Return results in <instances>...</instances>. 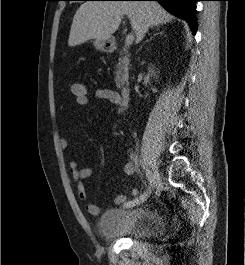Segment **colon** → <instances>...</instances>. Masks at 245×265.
Returning a JSON list of instances; mask_svg holds the SVG:
<instances>
[{"mask_svg": "<svg viewBox=\"0 0 245 265\" xmlns=\"http://www.w3.org/2000/svg\"><path fill=\"white\" fill-rule=\"evenodd\" d=\"M71 93L78 105L86 106L89 103V90L85 84L79 82L74 83L71 86Z\"/></svg>", "mask_w": 245, "mask_h": 265, "instance_id": "5ec220e1", "label": "colon"}]
</instances>
